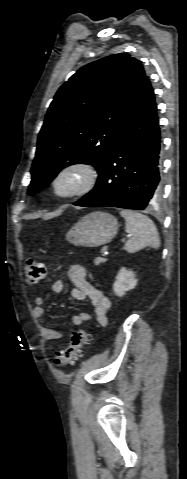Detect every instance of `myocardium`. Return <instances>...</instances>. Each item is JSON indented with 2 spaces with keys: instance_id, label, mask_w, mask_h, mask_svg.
<instances>
[{
  "instance_id": "f54148a6",
  "label": "myocardium",
  "mask_w": 187,
  "mask_h": 479,
  "mask_svg": "<svg viewBox=\"0 0 187 479\" xmlns=\"http://www.w3.org/2000/svg\"><path fill=\"white\" fill-rule=\"evenodd\" d=\"M97 180L98 172L92 164L74 161L58 170L49 183V190L53 197L69 200L89 193Z\"/></svg>"
}]
</instances>
